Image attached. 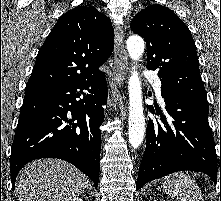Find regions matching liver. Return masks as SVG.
I'll return each instance as SVG.
<instances>
[{
    "mask_svg": "<svg viewBox=\"0 0 221 201\" xmlns=\"http://www.w3.org/2000/svg\"><path fill=\"white\" fill-rule=\"evenodd\" d=\"M16 183L19 201H66L79 196L88 179L68 162L48 158L28 163Z\"/></svg>",
    "mask_w": 221,
    "mask_h": 201,
    "instance_id": "liver-1",
    "label": "liver"
}]
</instances>
